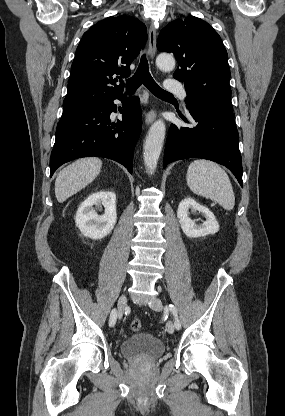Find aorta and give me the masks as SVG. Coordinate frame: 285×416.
Masks as SVG:
<instances>
[{"label": "aorta", "instance_id": "1", "mask_svg": "<svg viewBox=\"0 0 285 416\" xmlns=\"http://www.w3.org/2000/svg\"><path fill=\"white\" fill-rule=\"evenodd\" d=\"M156 64L162 71H172L175 67V60L169 54H160L156 59ZM165 133L166 127L162 120L155 121L148 131L143 150L145 168L150 174H153L157 167Z\"/></svg>", "mask_w": 285, "mask_h": 416}]
</instances>
